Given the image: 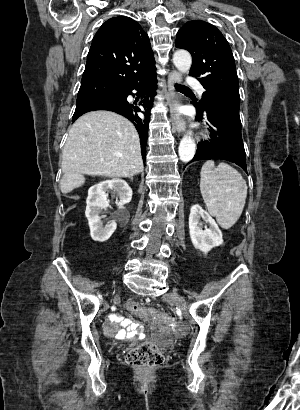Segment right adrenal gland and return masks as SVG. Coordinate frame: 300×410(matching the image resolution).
Returning <instances> with one entry per match:
<instances>
[{
  "mask_svg": "<svg viewBox=\"0 0 300 410\" xmlns=\"http://www.w3.org/2000/svg\"><path fill=\"white\" fill-rule=\"evenodd\" d=\"M130 179L133 181V177H130Z\"/></svg>",
  "mask_w": 300,
  "mask_h": 410,
  "instance_id": "1",
  "label": "right adrenal gland"
}]
</instances>
